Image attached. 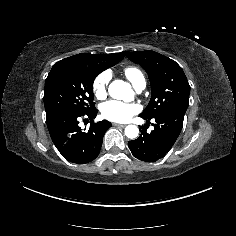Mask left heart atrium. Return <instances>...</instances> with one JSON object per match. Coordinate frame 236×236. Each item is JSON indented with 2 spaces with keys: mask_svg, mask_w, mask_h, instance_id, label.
Masks as SVG:
<instances>
[{
  "mask_svg": "<svg viewBox=\"0 0 236 236\" xmlns=\"http://www.w3.org/2000/svg\"><path fill=\"white\" fill-rule=\"evenodd\" d=\"M103 118L113 122H125L139 111L135 104L123 103L118 101H108L100 107Z\"/></svg>",
  "mask_w": 236,
  "mask_h": 236,
  "instance_id": "1",
  "label": "left heart atrium"
}]
</instances>
